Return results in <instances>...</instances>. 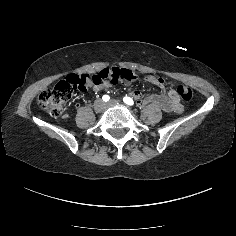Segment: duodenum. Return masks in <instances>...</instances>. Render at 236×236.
I'll return each instance as SVG.
<instances>
[{
    "label": "duodenum",
    "instance_id": "1",
    "mask_svg": "<svg viewBox=\"0 0 236 236\" xmlns=\"http://www.w3.org/2000/svg\"><path fill=\"white\" fill-rule=\"evenodd\" d=\"M139 103L142 106H146L148 104L156 103L160 105L164 110L167 111H177L180 110V104L175 100V98L169 96H157L150 98H140Z\"/></svg>",
    "mask_w": 236,
    "mask_h": 236
}]
</instances>
